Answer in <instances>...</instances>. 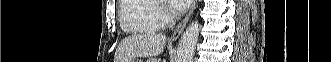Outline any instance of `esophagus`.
I'll return each instance as SVG.
<instances>
[{
	"label": "esophagus",
	"instance_id": "1",
	"mask_svg": "<svg viewBox=\"0 0 331 62\" xmlns=\"http://www.w3.org/2000/svg\"><path fill=\"white\" fill-rule=\"evenodd\" d=\"M196 5H197V0H193L189 12L185 16V18L180 22V24L177 26V28L174 30V32L171 36L172 40H177L180 37V35L182 34L183 30L185 29L189 19L191 18Z\"/></svg>",
	"mask_w": 331,
	"mask_h": 62
}]
</instances>
